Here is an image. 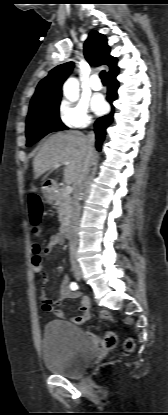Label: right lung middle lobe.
<instances>
[{"mask_svg":"<svg viewBox=\"0 0 168 415\" xmlns=\"http://www.w3.org/2000/svg\"><path fill=\"white\" fill-rule=\"evenodd\" d=\"M60 100L32 109L27 116V146L54 131L68 129L59 117Z\"/></svg>","mask_w":168,"mask_h":415,"instance_id":"dd1d6c3e","label":"right lung middle lobe"}]
</instances>
